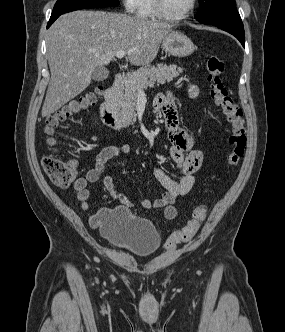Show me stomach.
<instances>
[{
  "mask_svg": "<svg viewBox=\"0 0 285 332\" xmlns=\"http://www.w3.org/2000/svg\"><path fill=\"white\" fill-rule=\"evenodd\" d=\"M163 49L172 56L186 57L195 50L193 42L183 33L170 31L162 42Z\"/></svg>",
  "mask_w": 285,
  "mask_h": 332,
  "instance_id": "0dacf381",
  "label": "stomach"
}]
</instances>
